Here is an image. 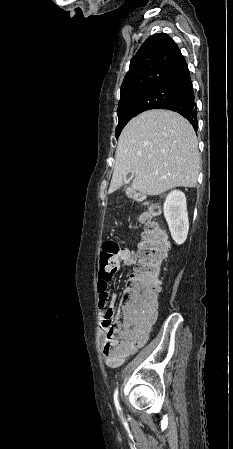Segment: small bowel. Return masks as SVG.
I'll return each instance as SVG.
<instances>
[{
	"label": "small bowel",
	"mask_w": 233,
	"mask_h": 449,
	"mask_svg": "<svg viewBox=\"0 0 233 449\" xmlns=\"http://www.w3.org/2000/svg\"><path fill=\"white\" fill-rule=\"evenodd\" d=\"M128 254H129L128 256H121L120 261L117 264V266L114 269H111L108 271L109 279H111L112 276L116 273L117 269L120 266V263H123L126 266H134L136 264V262H137L136 256L130 251H128ZM115 299H116V295L114 293L110 292L109 290L107 291L106 294L99 293L98 305H99L100 310L102 312L106 313L108 306L112 305L114 303ZM154 320H155V317H151L136 332V337L127 346V351H126L125 356L133 354L134 352L137 351L138 348H140L144 345V343L146 342V340L149 336V332L151 330V326H152V323L154 322ZM100 336H101L102 341H106V327L104 324V320H103V323L100 325Z\"/></svg>",
	"instance_id": "obj_1"
}]
</instances>
